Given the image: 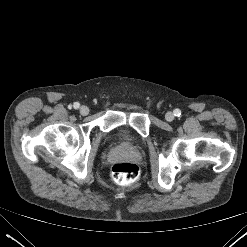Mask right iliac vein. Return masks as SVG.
Returning a JSON list of instances; mask_svg holds the SVG:
<instances>
[{
    "instance_id": "1",
    "label": "right iliac vein",
    "mask_w": 247,
    "mask_h": 247,
    "mask_svg": "<svg viewBox=\"0 0 247 247\" xmlns=\"http://www.w3.org/2000/svg\"><path fill=\"white\" fill-rule=\"evenodd\" d=\"M79 111L81 115L86 116L89 113V108L87 106H81Z\"/></svg>"
}]
</instances>
